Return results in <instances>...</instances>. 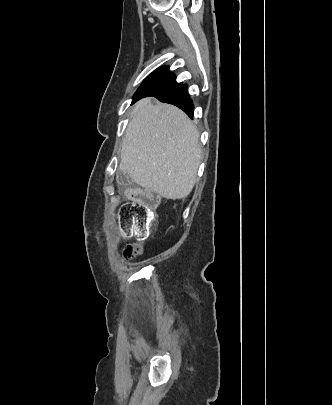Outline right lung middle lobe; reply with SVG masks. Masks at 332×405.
<instances>
[{
  "label": "right lung middle lobe",
  "instance_id": "obj_1",
  "mask_svg": "<svg viewBox=\"0 0 332 405\" xmlns=\"http://www.w3.org/2000/svg\"><path fill=\"white\" fill-rule=\"evenodd\" d=\"M181 83L176 82L175 76L151 73L140 85L138 93L163 92L172 89Z\"/></svg>",
  "mask_w": 332,
  "mask_h": 405
}]
</instances>
